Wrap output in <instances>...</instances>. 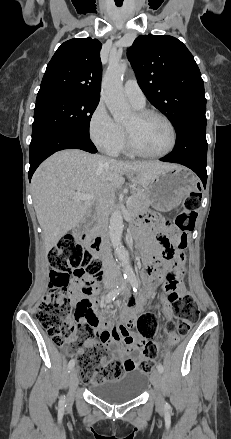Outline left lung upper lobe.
<instances>
[{"mask_svg": "<svg viewBox=\"0 0 231 439\" xmlns=\"http://www.w3.org/2000/svg\"><path fill=\"white\" fill-rule=\"evenodd\" d=\"M138 84L176 132L206 112L204 83L194 57L177 38L144 35L127 51Z\"/></svg>", "mask_w": 231, "mask_h": 439, "instance_id": "left-lung-upper-lobe-1", "label": "left lung upper lobe"}]
</instances>
